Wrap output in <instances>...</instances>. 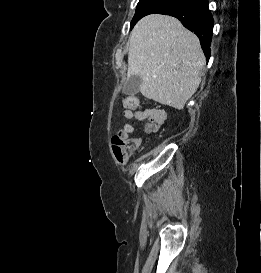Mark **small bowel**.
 Segmentation results:
<instances>
[{"label":"small bowel","mask_w":261,"mask_h":273,"mask_svg":"<svg viewBox=\"0 0 261 273\" xmlns=\"http://www.w3.org/2000/svg\"><path fill=\"white\" fill-rule=\"evenodd\" d=\"M123 116L127 120H139L144 121V129L147 133H155L160 130L166 121V114L162 109H145L138 113L130 108L125 107ZM124 132L131 134L134 132V127L131 124H125L123 128Z\"/></svg>","instance_id":"obj_1"}]
</instances>
